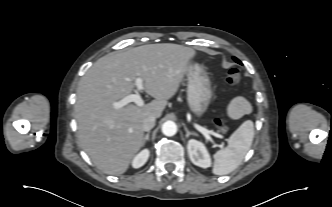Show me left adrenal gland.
<instances>
[{
  "label": "left adrenal gland",
  "mask_w": 332,
  "mask_h": 207,
  "mask_svg": "<svg viewBox=\"0 0 332 207\" xmlns=\"http://www.w3.org/2000/svg\"><path fill=\"white\" fill-rule=\"evenodd\" d=\"M184 129L186 131V138H188L190 135H196L194 132H190L185 125H184Z\"/></svg>",
  "instance_id": "left-adrenal-gland-1"
}]
</instances>
